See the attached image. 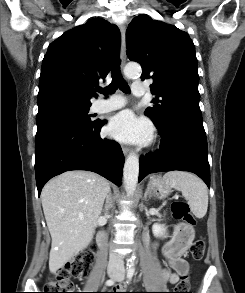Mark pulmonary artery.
I'll return each instance as SVG.
<instances>
[{
    "label": "pulmonary artery",
    "mask_w": 245,
    "mask_h": 293,
    "mask_svg": "<svg viewBox=\"0 0 245 293\" xmlns=\"http://www.w3.org/2000/svg\"><path fill=\"white\" fill-rule=\"evenodd\" d=\"M132 92L136 96L147 94L146 88L143 83H133ZM126 104L125 100L119 96L111 95L106 100H100L95 103L94 110L96 112H110L120 109Z\"/></svg>",
    "instance_id": "1"
}]
</instances>
